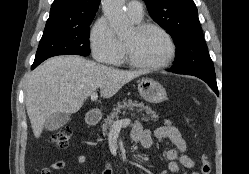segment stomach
Returning a JSON list of instances; mask_svg holds the SVG:
<instances>
[{
    "label": "stomach",
    "instance_id": "1",
    "mask_svg": "<svg viewBox=\"0 0 249 174\" xmlns=\"http://www.w3.org/2000/svg\"><path fill=\"white\" fill-rule=\"evenodd\" d=\"M140 95L150 103H160L167 98L164 87L152 79H141L138 81Z\"/></svg>",
    "mask_w": 249,
    "mask_h": 174
}]
</instances>
